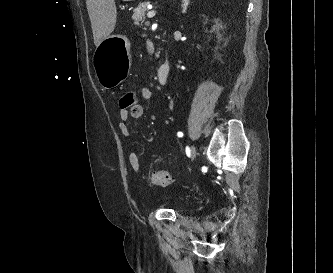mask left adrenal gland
<instances>
[{
	"label": "left adrenal gland",
	"mask_w": 333,
	"mask_h": 273,
	"mask_svg": "<svg viewBox=\"0 0 333 273\" xmlns=\"http://www.w3.org/2000/svg\"><path fill=\"white\" fill-rule=\"evenodd\" d=\"M190 0H182V13H185L189 5Z\"/></svg>",
	"instance_id": "1"
}]
</instances>
